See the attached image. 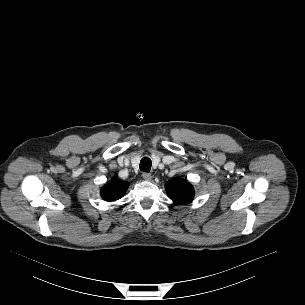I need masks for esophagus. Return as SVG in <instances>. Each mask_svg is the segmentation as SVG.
<instances>
[{
  "mask_svg": "<svg viewBox=\"0 0 305 305\" xmlns=\"http://www.w3.org/2000/svg\"><path fill=\"white\" fill-rule=\"evenodd\" d=\"M142 176H143L144 180H146V181H150V180L152 179L151 174H150V173H147V172H144V173L142 174Z\"/></svg>",
  "mask_w": 305,
  "mask_h": 305,
  "instance_id": "obj_1",
  "label": "esophagus"
}]
</instances>
